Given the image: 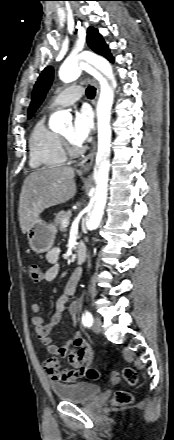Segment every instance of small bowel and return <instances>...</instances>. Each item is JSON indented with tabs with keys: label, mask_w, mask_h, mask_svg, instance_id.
I'll use <instances>...</instances> for the list:
<instances>
[{
	"label": "small bowel",
	"mask_w": 174,
	"mask_h": 440,
	"mask_svg": "<svg viewBox=\"0 0 174 440\" xmlns=\"http://www.w3.org/2000/svg\"><path fill=\"white\" fill-rule=\"evenodd\" d=\"M59 256L60 248L55 246L51 248L46 255V260L49 264L44 272V280L47 282L54 281L59 272ZM81 277L80 270H75L69 277L64 294L60 296L54 305V314L48 324L44 323V319L40 315L32 317V325L34 331L40 341V343L46 346V350L49 354L55 357L46 360L45 369L52 381L60 383H73L84 373V370L93 357V349L88 341L82 336L81 333H76L72 337L68 338L62 345H55L50 337V332L61 320V315L66 309L67 303H69V312L72 319L75 320L78 313V304L76 301L71 300L76 292L77 285ZM31 310L35 314H39L42 310L41 305L36 299L31 302ZM58 358H68L71 365V369H63L60 365Z\"/></svg>",
	"instance_id": "small-bowel-1"
}]
</instances>
